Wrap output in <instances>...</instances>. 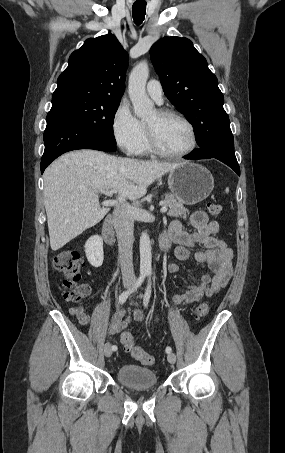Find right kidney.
<instances>
[{
	"label": "right kidney",
	"instance_id": "right-kidney-1",
	"mask_svg": "<svg viewBox=\"0 0 285 453\" xmlns=\"http://www.w3.org/2000/svg\"><path fill=\"white\" fill-rule=\"evenodd\" d=\"M87 260L93 267H100L103 263V240L99 235L91 236L85 243Z\"/></svg>",
	"mask_w": 285,
	"mask_h": 453
}]
</instances>
